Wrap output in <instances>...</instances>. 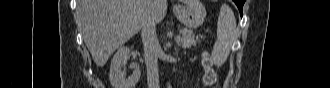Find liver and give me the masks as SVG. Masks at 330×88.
<instances>
[{
  "mask_svg": "<svg viewBox=\"0 0 330 88\" xmlns=\"http://www.w3.org/2000/svg\"><path fill=\"white\" fill-rule=\"evenodd\" d=\"M166 11L167 0H79L76 9L84 42L99 67L140 31L145 19L161 22Z\"/></svg>",
  "mask_w": 330,
  "mask_h": 88,
  "instance_id": "obj_1",
  "label": "liver"
}]
</instances>
